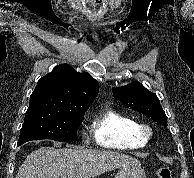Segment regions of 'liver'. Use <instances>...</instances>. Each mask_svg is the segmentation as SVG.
I'll return each mask as SVG.
<instances>
[{"mask_svg": "<svg viewBox=\"0 0 194 178\" xmlns=\"http://www.w3.org/2000/svg\"><path fill=\"white\" fill-rule=\"evenodd\" d=\"M139 165L137 159L114 151L42 147L27 156L16 178H94Z\"/></svg>", "mask_w": 194, "mask_h": 178, "instance_id": "obj_1", "label": "liver"}]
</instances>
